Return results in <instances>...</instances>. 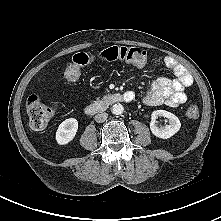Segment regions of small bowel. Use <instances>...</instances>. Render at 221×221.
Instances as JSON below:
<instances>
[{
	"label": "small bowel",
	"mask_w": 221,
	"mask_h": 221,
	"mask_svg": "<svg viewBox=\"0 0 221 221\" xmlns=\"http://www.w3.org/2000/svg\"><path fill=\"white\" fill-rule=\"evenodd\" d=\"M166 67L175 78H158L143 96V102L149 106L166 104L176 107L187 101L185 89L193 83L192 76L186 68L172 57L165 58Z\"/></svg>",
	"instance_id": "small-bowel-1"
}]
</instances>
